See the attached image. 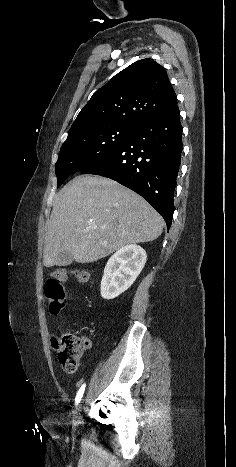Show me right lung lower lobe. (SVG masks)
Wrapping results in <instances>:
<instances>
[{
    "label": "right lung lower lobe",
    "instance_id": "1",
    "mask_svg": "<svg viewBox=\"0 0 236 467\" xmlns=\"http://www.w3.org/2000/svg\"><path fill=\"white\" fill-rule=\"evenodd\" d=\"M182 151V126L176 105L144 123L114 152L80 171L108 177L144 197L170 228Z\"/></svg>",
    "mask_w": 236,
    "mask_h": 467
}]
</instances>
